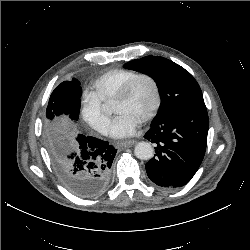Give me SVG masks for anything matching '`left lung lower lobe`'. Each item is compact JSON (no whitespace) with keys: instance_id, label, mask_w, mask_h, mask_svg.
Wrapping results in <instances>:
<instances>
[{"instance_id":"0a47b994","label":"left lung lower lobe","mask_w":250,"mask_h":250,"mask_svg":"<svg viewBox=\"0 0 250 250\" xmlns=\"http://www.w3.org/2000/svg\"><path fill=\"white\" fill-rule=\"evenodd\" d=\"M209 127L205 104L183 108L152 121L145 138L155 143V156L146 172L155 184L168 188L186 185L203 160Z\"/></svg>"}]
</instances>
